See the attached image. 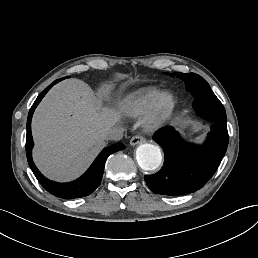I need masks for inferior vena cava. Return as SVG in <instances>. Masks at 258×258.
Listing matches in <instances>:
<instances>
[{
    "label": "inferior vena cava",
    "instance_id": "1",
    "mask_svg": "<svg viewBox=\"0 0 258 258\" xmlns=\"http://www.w3.org/2000/svg\"><path fill=\"white\" fill-rule=\"evenodd\" d=\"M124 129L121 127H113L107 132V139L120 140L123 137Z\"/></svg>",
    "mask_w": 258,
    "mask_h": 258
}]
</instances>
